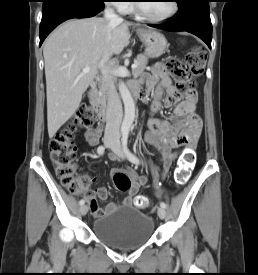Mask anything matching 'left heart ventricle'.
<instances>
[{
    "mask_svg": "<svg viewBox=\"0 0 258 275\" xmlns=\"http://www.w3.org/2000/svg\"><path fill=\"white\" fill-rule=\"evenodd\" d=\"M148 3H141L143 9L147 14L153 17H162L167 15L172 10V2L168 0L161 1H145Z\"/></svg>",
    "mask_w": 258,
    "mask_h": 275,
    "instance_id": "obj_1",
    "label": "left heart ventricle"
}]
</instances>
